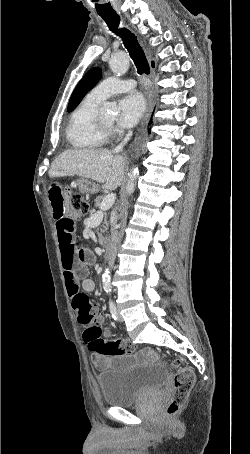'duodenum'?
Listing matches in <instances>:
<instances>
[{"label": "duodenum", "instance_id": "1", "mask_svg": "<svg viewBox=\"0 0 250 454\" xmlns=\"http://www.w3.org/2000/svg\"><path fill=\"white\" fill-rule=\"evenodd\" d=\"M102 246L106 252H108L111 249L112 246V240L110 237H104L102 239Z\"/></svg>", "mask_w": 250, "mask_h": 454}]
</instances>
